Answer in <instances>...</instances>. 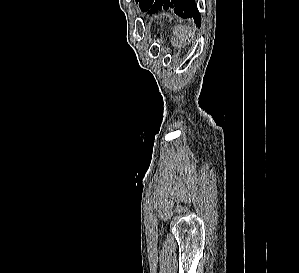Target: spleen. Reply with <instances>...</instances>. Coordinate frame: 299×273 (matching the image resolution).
<instances>
[{"label":"spleen","mask_w":299,"mask_h":273,"mask_svg":"<svg viewBox=\"0 0 299 273\" xmlns=\"http://www.w3.org/2000/svg\"><path fill=\"white\" fill-rule=\"evenodd\" d=\"M174 39H173V45L175 47H182L183 43L188 41L190 43L191 37H192V31L189 27L184 25H178L173 30Z\"/></svg>","instance_id":"spleen-1"}]
</instances>
